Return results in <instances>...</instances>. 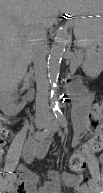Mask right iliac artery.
<instances>
[{"mask_svg":"<svg viewBox=\"0 0 103 193\" xmlns=\"http://www.w3.org/2000/svg\"><path fill=\"white\" fill-rule=\"evenodd\" d=\"M50 132H51V130L48 129V128H46V129H44V130H42V131L37 132V133L35 134V138H36L37 140H43V139H45V138L50 134ZM15 178H16V175L13 174V175L11 176V180H13V179H15Z\"/></svg>","mask_w":103,"mask_h":193,"instance_id":"obj_1","label":"right iliac artery"}]
</instances>
